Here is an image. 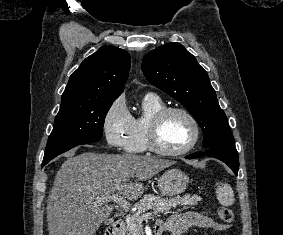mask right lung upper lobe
I'll return each mask as SVG.
<instances>
[{"instance_id": "cb5924a9", "label": "right lung upper lobe", "mask_w": 283, "mask_h": 235, "mask_svg": "<svg viewBox=\"0 0 283 235\" xmlns=\"http://www.w3.org/2000/svg\"><path fill=\"white\" fill-rule=\"evenodd\" d=\"M130 69L127 51L103 46L70 76L61 103L72 100L114 101L123 92Z\"/></svg>"}]
</instances>
